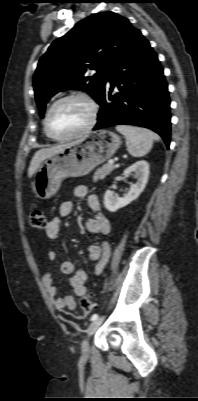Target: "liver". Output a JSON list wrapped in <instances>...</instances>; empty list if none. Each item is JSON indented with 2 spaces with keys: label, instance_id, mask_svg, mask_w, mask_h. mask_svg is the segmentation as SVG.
<instances>
[{
  "label": "liver",
  "instance_id": "1",
  "mask_svg": "<svg viewBox=\"0 0 198 401\" xmlns=\"http://www.w3.org/2000/svg\"><path fill=\"white\" fill-rule=\"evenodd\" d=\"M66 145L67 144L38 150L30 162L28 177L31 178L36 173L44 160L60 152Z\"/></svg>",
  "mask_w": 198,
  "mask_h": 401
}]
</instances>
